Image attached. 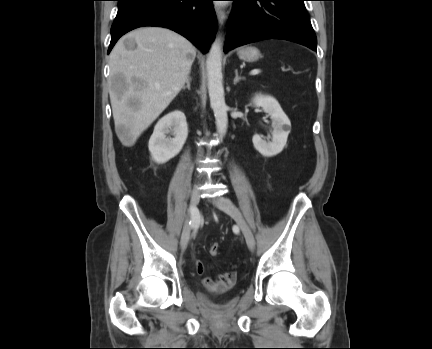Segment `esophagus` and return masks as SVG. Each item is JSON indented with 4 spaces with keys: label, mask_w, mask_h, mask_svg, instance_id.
Instances as JSON below:
<instances>
[{
    "label": "esophagus",
    "mask_w": 432,
    "mask_h": 349,
    "mask_svg": "<svg viewBox=\"0 0 432 349\" xmlns=\"http://www.w3.org/2000/svg\"><path fill=\"white\" fill-rule=\"evenodd\" d=\"M215 12H216V16L218 19V23L220 25V27H222L226 21V12L225 10L218 4L215 5Z\"/></svg>",
    "instance_id": "1"
}]
</instances>
